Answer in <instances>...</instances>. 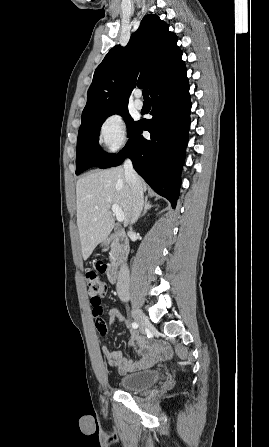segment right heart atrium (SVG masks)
Masks as SVG:
<instances>
[{"label":"right heart atrium","instance_id":"right-heart-atrium-1","mask_svg":"<svg viewBox=\"0 0 269 447\" xmlns=\"http://www.w3.org/2000/svg\"><path fill=\"white\" fill-rule=\"evenodd\" d=\"M127 140V124L124 116L120 113L107 116L98 130V144L108 152H116L126 144Z\"/></svg>","mask_w":269,"mask_h":447}]
</instances>
